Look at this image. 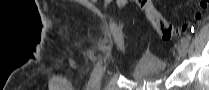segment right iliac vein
I'll use <instances>...</instances> for the list:
<instances>
[{
    "mask_svg": "<svg viewBox=\"0 0 209 90\" xmlns=\"http://www.w3.org/2000/svg\"><path fill=\"white\" fill-rule=\"evenodd\" d=\"M100 78H99L98 82L96 83V90H99L100 89Z\"/></svg>",
    "mask_w": 209,
    "mask_h": 90,
    "instance_id": "obj_1",
    "label": "right iliac vein"
}]
</instances>
